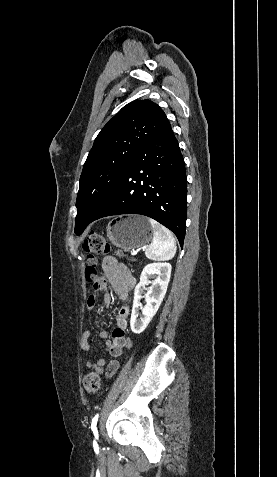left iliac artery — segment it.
<instances>
[{
	"label": "left iliac artery",
	"instance_id": "obj_1",
	"mask_svg": "<svg viewBox=\"0 0 277 477\" xmlns=\"http://www.w3.org/2000/svg\"><path fill=\"white\" fill-rule=\"evenodd\" d=\"M98 417H99V415L97 414V415L92 419V423H91V430H92V432L95 434V436H97L96 424H97Z\"/></svg>",
	"mask_w": 277,
	"mask_h": 477
}]
</instances>
